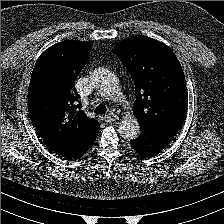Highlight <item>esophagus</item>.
I'll use <instances>...</instances> for the list:
<instances>
[{
    "instance_id": "obj_1",
    "label": "esophagus",
    "mask_w": 224,
    "mask_h": 224,
    "mask_svg": "<svg viewBox=\"0 0 224 224\" xmlns=\"http://www.w3.org/2000/svg\"><path fill=\"white\" fill-rule=\"evenodd\" d=\"M118 116L116 115V114H109V115H106L105 117H104V121L105 122H107V123H111V122H113V121H116V120H118Z\"/></svg>"
}]
</instances>
